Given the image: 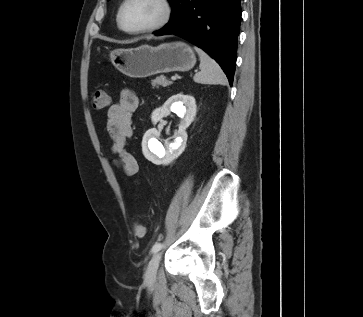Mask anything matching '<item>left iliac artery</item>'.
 Instances as JSON below:
<instances>
[{
  "label": "left iliac artery",
  "instance_id": "obj_1",
  "mask_svg": "<svg viewBox=\"0 0 363 317\" xmlns=\"http://www.w3.org/2000/svg\"><path fill=\"white\" fill-rule=\"evenodd\" d=\"M163 247V244L162 243H155L151 249V252L152 253H156L158 252L159 250H161V248Z\"/></svg>",
  "mask_w": 363,
  "mask_h": 317
}]
</instances>
